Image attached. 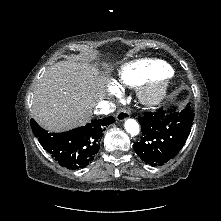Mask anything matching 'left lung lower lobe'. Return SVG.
<instances>
[{
	"label": "left lung lower lobe",
	"instance_id": "obj_1",
	"mask_svg": "<svg viewBox=\"0 0 221 221\" xmlns=\"http://www.w3.org/2000/svg\"><path fill=\"white\" fill-rule=\"evenodd\" d=\"M193 120L194 113L189 104L181 111L171 108L145 113L138 117L143 137L134 143L135 152L151 166L163 165L182 149Z\"/></svg>",
	"mask_w": 221,
	"mask_h": 221
}]
</instances>
